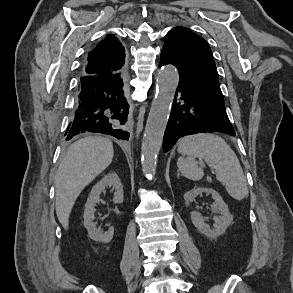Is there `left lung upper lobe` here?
I'll use <instances>...</instances> for the list:
<instances>
[{"label": "left lung upper lobe", "instance_id": "obj_1", "mask_svg": "<svg viewBox=\"0 0 293 293\" xmlns=\"http://www.w3.org/2000/svg\"><path fill=\"white\" fill-rule=\"evenodd\" d=\"M161 53L178 69L179 82L223 100L213 55L202 37L185 27H175L167 33Z\"/></svg>", "mask_w": 293, "mask_h": 293}]
</instances>
